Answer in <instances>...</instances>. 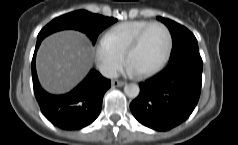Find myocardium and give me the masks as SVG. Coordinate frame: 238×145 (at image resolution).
Here are the masks:
<instances>
[{
  "mask_svg": "<svg viewBox=\"0 0 238 145\" xmlns=\"http://www.w3.org/2000/svg\"><path fill=\"white\" fill-rule=\"evenodd\" d=\"M154 26H159L161 28H163L166 32V36H167V46H166V50L165 53L163 55V57L161 58V60L151 69L138 73L139 76L141 77H149L154 75L155 73H157L159 70L162 69V67L166 64V62L168 61L171 51H172V46H173V39H172V34L170 29L162 22H158V21H154L151 22L150 24H148L147 26H145L137 35L136 37L133 39V41L129 44V46L127 47L125 53H124V58H125V62H128V59L131 55V53L138 48V46L141 44L144 36L146 35V33L148 32L149 29H151Z\"/></svg>",
  "mask_w": 238,
  "mask_h": 145,
  "instance_id": "obj_1",
  "label": "myocardium"
}]
</instances>
